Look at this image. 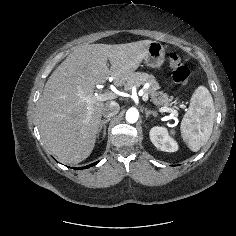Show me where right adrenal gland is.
Wrapping results in <instances>:
<instances>
[{
    "label": "right adrenal gland",
    "mask_w": 236,
    "mask_h": 236,
    "mask_svg": "<svg viewBox=\"0 0 236 236\" xmlns=\"http://www.w3.org/2000/svg\"><path fill=\"white\" fill-rule=\"evenodd\" d=\"M110 121V118H107L105 120H102L100 125H99V130L98 133L101 132V130L103 129V139L105 138L106 135V123Z\"/></svg>",
    "instance_id": "obj_1"
}]
</instances>
